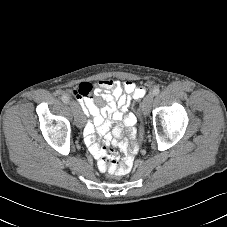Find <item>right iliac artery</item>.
Here are the masks:
<instances>
[{
  "instance_id": "right-iliac-artery-1",
  "label": "right iliac artery",
  "mask_w": 227,
  "mask_h": 227,
  "mask_svg": "<svg viewBox=\"0 0 227 227\" xmlns=\"http://www.w3.org/2000/svg\"><path fill=\"white\" fill-rule=\"evenodd\" d=\"M61 99L64 103H69V98L67 97V95H62Z\"/></svg>"
}]
</instances>
